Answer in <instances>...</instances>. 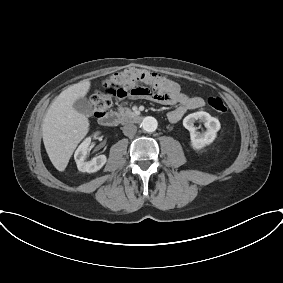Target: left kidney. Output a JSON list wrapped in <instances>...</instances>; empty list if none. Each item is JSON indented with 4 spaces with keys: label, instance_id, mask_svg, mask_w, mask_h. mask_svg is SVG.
Returning <instances> with one entry per match:
<instances>
[{
    "label": "left kidney",
    "instance_id": "1",
    "mask_svg": "<svg viewBox=\"0 0 283 283\" xmlns=\"http://www.w3.org/2000/svg\"><path fill=\"white\" fill-rule=\"evenodd\" d=\"M200 120L204 122L206 131L199 133L194 127V122ZM183 126L190 131L191 146L193 149H202L205 146L211 144L220 130L221 125L217 118L212 117L207 112H195L189 114L183 119Z\"/></svg>",
    "mask_w": 283,
    "mask_h": 283
}]
</instances>
